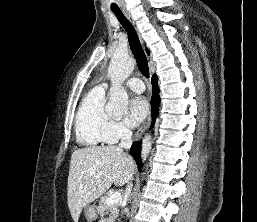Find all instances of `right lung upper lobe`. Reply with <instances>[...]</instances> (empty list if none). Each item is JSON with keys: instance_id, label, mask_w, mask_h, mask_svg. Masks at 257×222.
Wrapping results in <instances>:
<instances>
[{"instance_id": "1", "label": "right lung upper lobe", "mask_w": 257, "mask_h": 222, "mask_svg": "<svg viewBox=\"0 0 257 222\" xmlns=\"http://www.w3.org/2000/svg\"><path fill=\"white\" fill-rule=\"evenodd\" d=\"M146 51H147V53L149 54V50H148V49H146Z\"/></svg>"}]
</instances>
